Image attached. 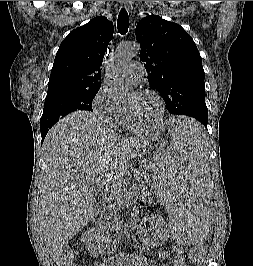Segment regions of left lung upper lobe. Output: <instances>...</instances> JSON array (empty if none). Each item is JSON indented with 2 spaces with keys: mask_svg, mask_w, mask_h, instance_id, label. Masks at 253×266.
<instances>
[{
  "mask_svg": "<svg viewBox=\"0 0 253 266\" xmlns=\"http://www.w3.org/2000/svg\"><path fill=\"white\" fill-rule=\"evenodd\" d=\"M135 32L148 81L163 97L170 115L191 116L207 126L205 74L190 35L157 15L143 18Z\"/></svg>",
  "mask_w": 253,
  "mask_h": 266,
  "instance_id": "1",
  "label": "left lung upper lobe"
}]
</instances>
